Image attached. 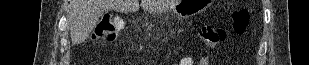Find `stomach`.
<instances>
[{"label": "stomach", "instance_id": "obj_1", "mask_svg": "<svg viewBox=\"0 0 309 65\" xmlns=\"http://www.w3.org/2000/svg\"><path fill=\"white\" fill-rule=\"evenodd\" d=\"M212 3V0H181L172 9V13L180 19H187L202 13Z\"/></svg>", "mask_w": 309, "mask_h": 65}]
</instances>
